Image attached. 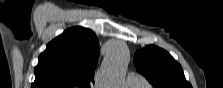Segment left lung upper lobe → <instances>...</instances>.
<instances>
[{
    "instance_id": "5c2ea615",
    "label": "left lung upper lobe",
    "mask_w": 223,
    "mask_h": 88,
    "mask_svg": "<svg viewBox=\"0 0 223 88\" xmlns=\"http://www.w3.org/2000/svg\"><path fill=\"white\" fill-rule=\"evenodd\" d=\"M133 61L154 88H192L180 64L161 48L147 46L135 53Z\"/></svg>"
}]
</instances>
